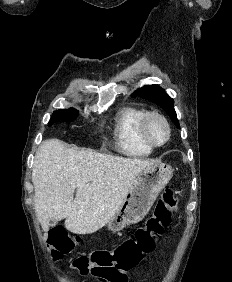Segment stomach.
Here are the masks:
<instances>
[{
    "label": "stomach",
    "mask_w": 232,
    "mask_h": 282,
    "mask_svg": "<svg viewBox=\"0 0 232 282\" xmlns=\"http://www.w3.org/2000/svg\"><path fill=\"white\" fill-rule=\"evenodd\" d=\"M172 175V166L165 163H154L142 170L130 187L124 201L107 223L108 229L117 232L126 225L141 221Z\"/></svg>",
    "instance_id": "obj_1"
}]
</instances>
